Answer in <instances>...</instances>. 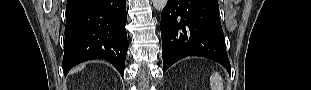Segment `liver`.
I'll return each instance as SVG.
<instances>
[{"label": "liver", "mask_w": 311, "mask_h": 90, "mask_svg": "<svg viewBox=\"0 0 311 90\" xmlns=\"http://www.w3.org/2000/svg\"><path fill=\"white\" fill-rule=\"evenodd\" d=\"M84 66H85V65H81V66H79L78 68H76V69H75V71L82 70V69L84 68Z\"/></svg>", "instance_id": "liver-1"}]
</instances>
